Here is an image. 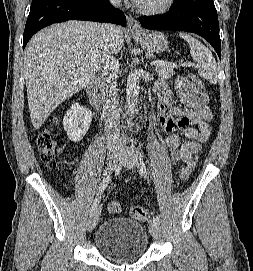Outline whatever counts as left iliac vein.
Wrapping results in <instances>:
<instances>
[{
  "instance_id": "left-iliac-vein-1",
  "label": "left iliac vein",
  "mask_w": 253,
  "mask_h": 271,
  "mask_svg": "<svg viewBox=\"0 0 253 271\" xmlns=\"http://www.w3.org/2000/svg\"><path fill=\"white\" fill-rule=\"evenodd\" d=\"M135 151L132 148L124 147L121 149V164L128 169H133L136 165ZM150 232L155 240L161 237V228L155 222L150 223Z\"/></svg>"
}]
</instances>
